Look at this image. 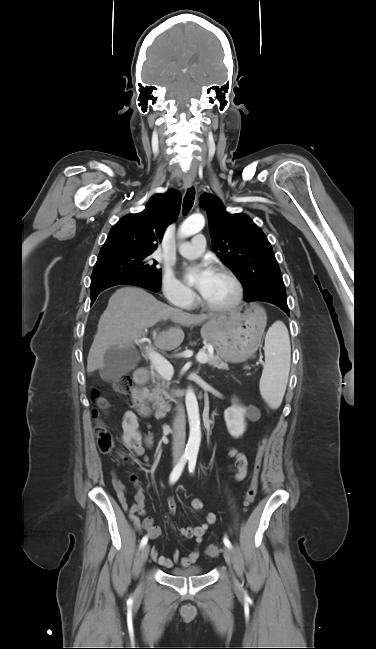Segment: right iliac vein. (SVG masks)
<instances>
[{"label": "right iliac vein", "mask_w": 376, "mask_h": 649, "mask_svg": "<svg viewBox=\"0 0 376 649\" xmlns=\"http://www.w3.org/2000/svg\"><path fill=\"white\" fill-rule=\"evenodd\" d=\"M149 550H150L149 545H145L142 548V551L140 553V565H141V567H143L145 565L146 561H147Z\"/></svg>", "instance_id": "63e3f726"}]
</instances>
